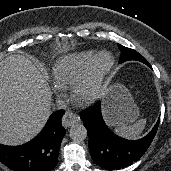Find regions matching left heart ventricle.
Returning a JSON list of instances; mask_svg holds the SVG:
<instances>
[{
	"mask_svg": "<svg viewBox=\"0 0 171 171\" xmlns=\"http://www.w3.org/2000/svg\"><path fill=\"white\" fill-rule=\"evenodd\" d=\"M108 58L106 56L102 57V59L100 60V64H105L107 62ZM91 91V86L90 85H85L84 87H82L81 89V94L82 95H86Z\"/></svg>",
	"mask_w": 171,
	"mask_h": 171,
	"instance_id": "1",
	"label": "left heart ventricle"
}]
</instances>
